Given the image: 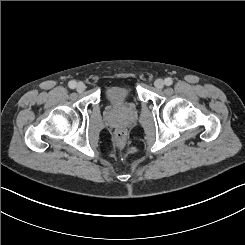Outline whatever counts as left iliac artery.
I'll list each match as a JSON object with an SVG mask.
<instances>
[{
	"mask_svg": "<svg viewBox=\"0 0 245 245\" xmlns=\"http://www.w3.org/2000/svg\"><path fill=\"white\" fill-rule=\"evenodd\" d=\"M172 83H173V80H172V78H166L165 79V84L167 85V86H170V85H172Z\"/></svg>",
	"mask_w": 245,
	"mask_h": 245,
	"instance_id": "1",
	"label": "left iliac artery"
}]
</instances>
